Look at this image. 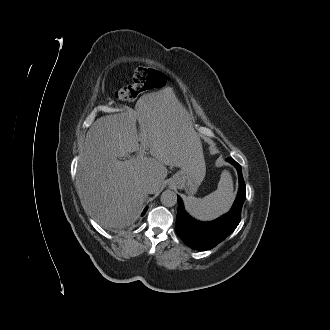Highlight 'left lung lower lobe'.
<instances>
[{
    "mask_svg": "<svg viewBox=\"0 0 330 330\" xmlns=\"http://www.w3.org/2000/svg\"><path fill=\"white\" fill-rule=\"evenodd\" d=\"M226 160L236 167L239 176L238 195L228 213L211 222L195 220L185 212L182 199L178 196L176 232L184 243L193 249L209 250L215 247L229 236L240 222L243 197L246 195L242 168L234 159Z\"/></svg>",
    "mask_w": 330,
    "mask_h": 330,
    "instance_id": "obj_1",
    "label": "left lung lower lobe"
}]
</instances>
